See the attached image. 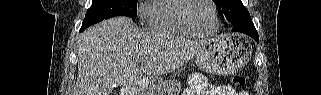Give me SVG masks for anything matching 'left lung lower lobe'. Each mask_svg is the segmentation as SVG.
Listing matches in <instances>:
<instances>
[{
	"mask_svg": "<svg viewBox=\"0 0 321 95\" xmlns=\"http://www.w3.org/2000/svg\"><path fill=\"white\" fill-rule=\"evenodd\" d=\"M232 31L245 33V34L249 35L250 37H252L255 41L259 42L258 33H257L251 19H249L247 21H242V22H239V23L233 25Z\"/></svg>",
	"mask_w": 321,
	"mask_h": 95,
	"instance_id": "1",
	"label": "left lung lower lobe"
}]
</instances>
